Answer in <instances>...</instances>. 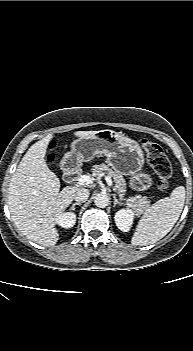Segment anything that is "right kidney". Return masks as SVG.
I'll list each match as a JSON object with an SVG mask.
<instances>
[{
  "mask_svg": "<svg viewBox=\"0 0 193 351\" xmlns=\"http://www.w3.org/2000/svg\"><path fill=\"white\" fill-rule=\"evenodd\" d=\"M76 215L71 212L62 213L57 216L56 223L63 228H71L75 225Z\"/></svg>",
  "mask_w": 193,
  "mask_h": 351,
  "instance_id": "ca27d5eb",
  "label": "right kidney"
}]
</instances>
